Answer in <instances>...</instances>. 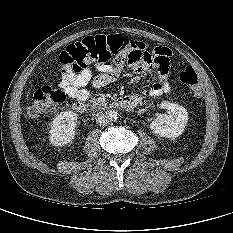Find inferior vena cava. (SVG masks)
<instances>
[{"label": "inferior vena cava", "mask_w": 233, "mask_h": 233, "mask_svg": "<svg viewBox=\"0 0 233 233\" xmlns=\"http://www.w3.org/2000/svg\"><path fill=\"white\" fill-rule=\"evenodd\" d=\"M96 123H97L99 126H106V125H109V124H110V121H109V119L107 118V116H106L105 113L99 112V113H97V115H96Z\"/></svg>", "instance_id": "1"}]
</instances>
